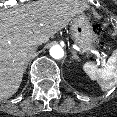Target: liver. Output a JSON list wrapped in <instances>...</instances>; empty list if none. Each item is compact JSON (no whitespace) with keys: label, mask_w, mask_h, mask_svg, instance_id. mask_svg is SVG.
<instances>
[{"label":"liver","mask_w":117,"mask_h":117,"mask_svg":"<svg viewBox=\"0 0 117 117\" xmlns=\"http://www.w3.org/2000/svg\"><path fill=\"white\" fill-rule=\"evenodd\" d=\"M87 8L76 0H43L0 12V100L19 89L28 50L48 42Z\"/></svg>","instance_id":"liver-1"}]
</instances>
